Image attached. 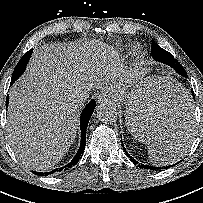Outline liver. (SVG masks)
<instances>
[{"label": "liver", "mask_w": 203, "mask_h": 203, "mask_svg": "<svg viewBox=\"0 0 203 203\" xmlns=\"http://www.w3.org/2000/svg\"><path fill=\"white\" fill-rule=\"evenodd\" d=\"M106 46L89 42L44 44L32 54L25 74L11 87L7 135L17 158L35 171H48L68 152L84 102L93 88L114 98L123 93L121 68L105 58ZM132 117H130L131 119ZM191 116L186 130L191 127ZM182 116L165 112L146 130L157 144L181 133Z\"/></svg>", "instance_id": "1"}]
</instances>
